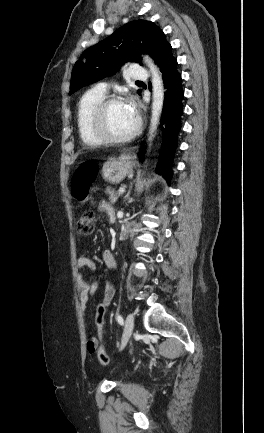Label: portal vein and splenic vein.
<instances>
[{
  "label": "portal vein and splenic vein",
  "instance_id": "18ae733b",
  "mask_svg": "<svg viewBox=\"0 0 264 433\" xmlns=\"http://www.w3.org/2000/svg\"><path fill=\"white\" fill-rule=\"evenodd\" d=\"M118 192H119L120 194H123V193L125 192V188H120V189L118 190Z\"/></svg>",
  "mask_w": 264,
  "mask_h": 433
}]
</instances>
